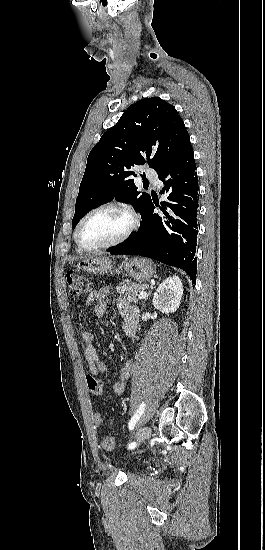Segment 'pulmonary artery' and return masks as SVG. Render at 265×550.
Segmentation results:
<instances>
[{"label":"pulmonary artery","mask_w":265,"mask_h":550,"mask_svg":"<svg viewBox=\"0 0 265 550\" xmlns=\"http://www.w3.org/2000/svg\"><path fill=\"white\" fill-rule=\"evenodd\" d=\"M146 175H147V177H148L154 184H157V183H158V176H157L156 171H154V170H148V171L146 172Z\"/></svg>","instance_id":"e3ab8cb5"}]
</instances>
